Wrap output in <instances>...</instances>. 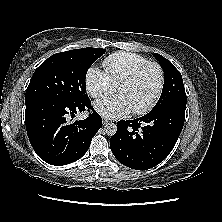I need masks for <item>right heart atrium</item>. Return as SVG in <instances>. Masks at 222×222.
<instances>
[{"label":"right heart atrium","instance_id":"1","mask_svg":"<svg viewBox=\"0 0 222 222\" xmlns=\"http://www.w3.org/2000/svg\"><path fill=\"white\" fill-rule=\"evenodd\" d=\"M85 85L87 93L93 98L105 96L115 89L109 75L95 66L89 68L85 77Z\"/></svg>","mask_w":222,"mask_h":222}]
</instances>
